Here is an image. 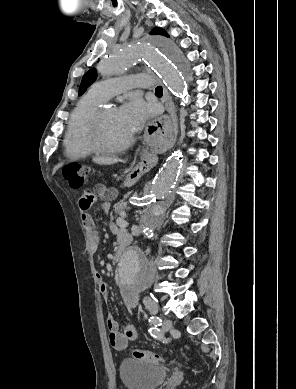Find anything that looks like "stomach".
<instances>
[{
    "mask_svg": "<svg viewBox=\"0 0 296 389\" xmlns=\"http://www.w3.org/2000/svg\"><path fill=\"white\" fill-rule=\"evenodd\" d=\"M148 169L128 168L125 172L126 182L129 186H138L145 178Z\"/></svg>",
    "mask_w": 296,
    "mask_h": 389,
    "instance_id": "obj_1",
    "label": "stomach"
}]
</instances>
